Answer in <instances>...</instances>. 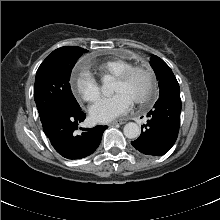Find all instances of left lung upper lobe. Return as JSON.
<instances>
[{
  "label": "left lung upper lobe",
  "instance_id": "left-lung-upper-lobe-1",
  "mask_svg": "<svg viewBox=\"0 0 220 220\" xmlns=\"http://www.w3.org/2000/svg\"><path fill=\"white\" fill-rule=\"evenodd\" d=\"M150 64L156 74L160 88V97L180 94L179 84L171 71V68L158 56L153 55Z\"/></svg>",
  "mask_w": 220,
  "mask_h": 220
}]
</instances>
